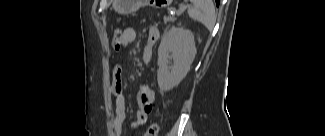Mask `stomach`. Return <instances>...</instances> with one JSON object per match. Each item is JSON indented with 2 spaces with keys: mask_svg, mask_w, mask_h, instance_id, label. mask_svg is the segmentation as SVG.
<instances>
[{
  "mask_svg": "<svg viewBox=\"0 0 325 136\" xmlns=\"http://www.w3.org/2000/svg\"><path fill=\"white\" fill-rule=\"evenodd\" d=\"M145 2L157 8H164L169 6L172 0H114V8L121 14H129L136 11Z\"/></svg>",
  "mask_w": 325,
  "mask_h": 136,
  "instance_id": "0dacf381",
  "label": "stomach"
}]
</instances>
